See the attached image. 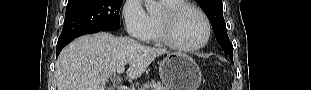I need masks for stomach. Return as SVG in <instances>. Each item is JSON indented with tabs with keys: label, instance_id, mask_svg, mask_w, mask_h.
Here are the masks:
<instances>
[{
	"label": "stomach",
	"instance_id": "0dacf381",
	"mask_svg": "<svg viewBox=\"0 0 311 90\" xmlns=\"http://www.w3.org/2000/svg\"><path fill=\"white\" fill-rule=\"evenodd\" d=\"M159 75L168 90H197L202 80L195 60L182 53L168 54L159 64Z\"/></svg>",
	"mask_w": 311,
	"mask_h": 90
}]
</instances>
